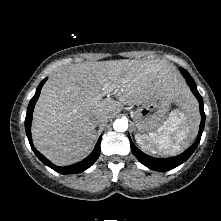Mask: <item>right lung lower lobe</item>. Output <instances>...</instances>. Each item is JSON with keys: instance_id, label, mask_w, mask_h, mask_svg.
I'll use <instances>...</instances> for the list:
<instances>
[{"instance_id": "obj_1", "label": "right lung lower lobe", "mask_w": 221, "mask_h": 221, "mask_svg": "<svg viewBox=\"0 0 221 221\" xmlns=\"http://www.w3.org/2000/svg\"><path fill=\"white\" fill-rule=\"evenodd\" d=\"M45 81H46V79L41 81V83L37 87L35 95L30 100V103H29L28 108H27V114H26V118H25V129H26V134H27L30 146H31L33 152L35 153V155L45 165L49 166L50 168H52L56 172L61 173V174H75V173L82 172V171L88 169L98 159L99 154H100L101 137L99 138L93 152L86 159H84L83 161H81L77 164L67 166V167H59V166L54 165L49 160H47L40 152H38L32 144L31 129H30L31 128V122H32V113H33L34 105H35V103H36V101H37V99L40 95L41 88H42Z\"/></svg>"}]
</instances>
